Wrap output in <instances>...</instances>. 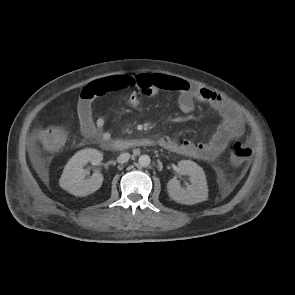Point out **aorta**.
Returning <instances> with one entry per match:
<instances>
[{
  "instance_id": "1",
  "label": "aorta",
  "mask_w": 295,
  "mask_h": 295,
  "mask_svg": "<svg viewBox=\"0 0 295 295\" xmlns=\"http://www.w3.org/2000/svg\"><path fill=\"white\" fill-rule=\"evenodd\" d=\"M139 165L142 167H147L150 165L151 159L148 155H141L138 159Z\"/></svg>"
}]
</instances>
